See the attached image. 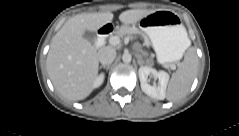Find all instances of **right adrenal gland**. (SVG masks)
I'll return each mask as SVG.
<instances>
[{"mask_svg": "<svg viewBox=\"0 0 239 136\" xmlns=\"http://www.w3.org/2000/svg\"><path fill=\"white\" fill-rule=\"evenodd\" d=\"M101 68H104V69H105V68H106V69H109V65H108V66H106V65H102V66H100V69H101Z\"/></svg>", "mask_w": 239, "mask_h": 136, "instance_id": "1", "label": "right adrenal gland"}]
</instances>
